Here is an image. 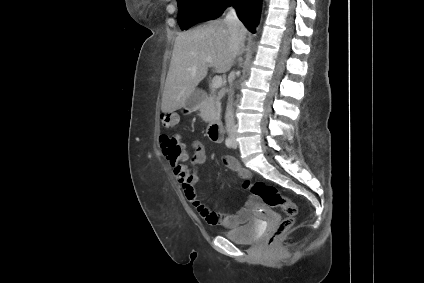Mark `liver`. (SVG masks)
Instances as JSON below:
<instances>
[{"mask_svg": "<svg viewBox=\"0 0 424 283\" xmlns=\"http://www.w3.org/2000/svg\"><path fill=\"white\" fill-rule=\"evenodd\" d=\"M244 33L246 35V29ZM242 49L243 45L240 53ZM234 59L225 20H212L180 33L175 40L162 95V112L171 113L184 107L197 85L206 77L208 67H213L217 73H225L232 67Z\"/></svg>", "mask_w": 424, "mask_h": 283, "instance_id": "1", "label": "liver"}]
</instances>
